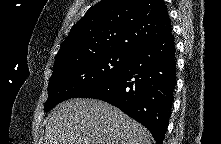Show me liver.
Wrapping results in <instances>:
<instances>
[{
	"instance_id": "6515ba94",
	"label": "liver",
	"mask_w": 221,
	"mask_h": 144,
	"mask_svg": "<svg viewBox=\"0 0 221 144\" xmlns=\"http://www.w3.org/2000/svg\"><path fill=\"white\" fill-rule=\"evenodd\" d=\"M47 122L45 144H151L144 126L96 99L62 102Z\"/></svg>"
}]
</instances>
